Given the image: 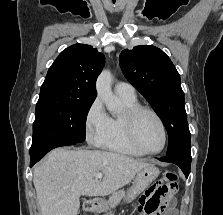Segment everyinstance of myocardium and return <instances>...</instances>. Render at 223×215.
Wrapping results in <instances>:
<instances>
[{
    "mask_svg": "<svg viewBox=\"0 0 223 215\" xmlns=\"http://www.w3.org/2000/svg\"><path fill=\"white\" fill-rule=\"evenodd\" d=\"M142 114H149L156 120V122L159 125L162 139H161L160 147L155 151H151V152L141 151L137 146L136 139H135V126H136V122H137L138 118ZM124 123H125V131H126L127 141L129 143V145L135 150V152L138 155H140V156H154V155L161 153V151L164 149L165 144H166L165 126H164L161 118L158 116V114L156 112H154L153 110H151L150 108L138 105L137 107H135L133 109L127 110L124 115Z\"/></svg>",
    "mask_w": 223,
    "mask_h": 215,
    "instance_id": "f54148a6",
    "label": "myocardium"
}]
</instances>
